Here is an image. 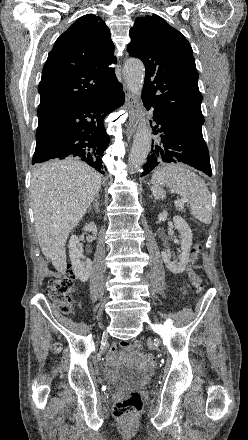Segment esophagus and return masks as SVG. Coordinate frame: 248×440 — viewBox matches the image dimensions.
Returning <instances> with one entry per match:
<instances>
[{
  "mask_svg": "<svg viewBox=\"0 0 248 440\" xmlns=\"http://www.w3.org/2000/svg\"><path fill=\"white\" fill-rule=\"evenodd\" d=\"M126 102L130 112V117L128 121L127 127V136L128 139L132 137L137 127V100L135 95L128 89L126 93Z\"/></svg>",
  "mask_w": 248,
  "mask_h": 440,
  "instance_id": "obj_1",
  "label": "esophagus"
}]
</instances>
